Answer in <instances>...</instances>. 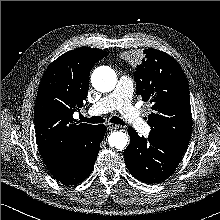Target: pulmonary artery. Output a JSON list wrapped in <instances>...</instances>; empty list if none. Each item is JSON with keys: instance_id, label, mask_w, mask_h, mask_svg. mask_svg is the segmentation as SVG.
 <instances>
[{"instance_id": "pulmonary-artery-1", "label": "pulmonary artery", "mask_w": 220, "mask_h": 220, "mask_svg": "<svg viewBox=\"0 0 220 220\" xmlns=\"http://www.w3.org/2000/svg\"><path fill=\"white\" fill-rule=\"evenodd\" d=\"M133 81L126 75L120 76L114 90L104 95L89 107L91 115H101L114 109L119 110L124 120L143 133L150 131L142 119L140 111L131 104Z\"/></svg>"}]
</instances>
